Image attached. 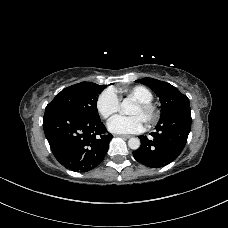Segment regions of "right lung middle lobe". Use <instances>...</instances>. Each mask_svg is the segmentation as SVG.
<instances>
[{
	"instance_id": "dd1d6c3e",
	"label": "right lung middle lobe",
	"mask_w": 228,
	"mask_h": 228,
	"mask_svg": "<svg viewBox=\"0 0 228 228\" xmlns=\"http://www.w3.org/2000/svg\"><path fill=\"white\" fill-rule=\"evenodd\" d=\"M105 85L92 82H81L63 89L47 105V107L61 106L71 109L86 117H99L97 112V98Z\"/></svg>"
}]
</instances>
